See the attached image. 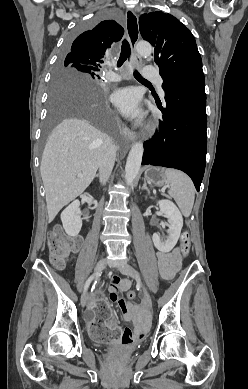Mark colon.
Returning a JSON list of instances; mask_svg holds the SVG:
<instances>
[{"label":"colon","mask_w":248,"mask_h":389,"mask_svg":"<svg viewBox=\"0 0 248 389\" xmlns=\"http://www.w3.org/2000/svg\"><path fill=\"white\" fill-rule=\"evenodd\" d=\"M181 252L184 256L188 255L191 239L190 234L184 231L181 234ZM80 241L77 238L67 237L60 227H56L49 235L48 246L50 251V261L56 268H62L70 253L76 251L79 247ZM98 293L94 296L95 303V322L89 323L88 331L91 337H95L98 344H109L110 338L114 343H117L121 338V332L116 326H106L107 322L111 321L109 314L110 306L105 301V294L101 287L97 288ZM136 296L134 290L127 292V298L132 300Z\"/></svg>","instance_id":"obj_1"}]
</instances>
